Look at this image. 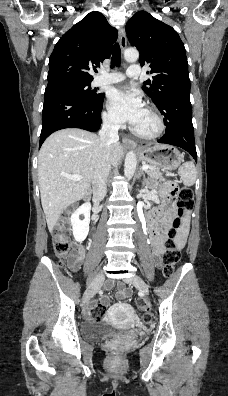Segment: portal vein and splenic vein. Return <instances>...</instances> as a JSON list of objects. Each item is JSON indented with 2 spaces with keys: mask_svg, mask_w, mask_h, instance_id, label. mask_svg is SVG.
<instances>
[{
  "mask_svg": "<svg viewBox=\"0 0 228 396\" xmlns=\"http://www.w3.org/2000/svg\"><path fill=\"white\" fill-rule=\"evenodd\" d=\"M148 168H149V166L146 165V164H144L142 166V170L146 171ZM65 177L68 178V179L74 180V181H79V180H81L83 178L81 175H65Z\"/></svg>",
  "mask_w": 228,
  "mask_h": 396,
  "instance_id": "1",
  "label": "portal vein and splenic vein"
}]
</instances>
